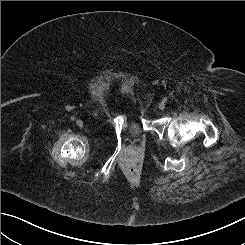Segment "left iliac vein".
<instances>
[{
  "mask_svg": "<svg viewBox=\"0 0 245 245\" xmlns=\"http://www.w3.org/2000/svg\"><path fill=\"white\" fill-rule=\"evenodd\" d=\"M159 108H160L161 110H163V109L165 108V104H164L163 102H161V103L159 104Z\"/></svg>",
  "mask_w": 245,
  "mask_h": 245,
  "instance_id": "left-iliac-vein-1",
  "label": "left iliac vein"
}]
</instances>
